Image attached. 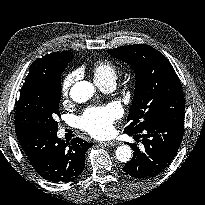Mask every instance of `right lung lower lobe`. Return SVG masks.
<instances>
[{
    "mask_svg": "<svg viewBox=\"0 0 205 205\" xmlns=\"http://www.w3.org/2000/svg\"><path fill=\"white\" fill-rule=\"evenodd\" d=\"M17 137L34 170L54 183L77 178L85 167V152L92 145L78 137L65 142L56 132L27 131Z\"/></svg>",
    "mask_w": 205,
    "mask_h": 205,
    "instance_id": "obj_1",
    "label": "right lung lower lobe"
}]
</instances>
